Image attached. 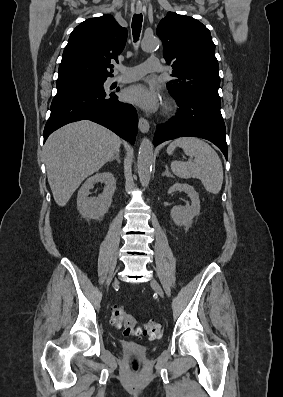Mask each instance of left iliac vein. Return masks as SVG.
I'll list each match as a JSON object with an SVG mask.
<instances>
[{
    "label": "left iliac vein",
    "mask_w": 283,
    "mask_h": 397,
    "mask_svg": "<svg viewBox=\"0 0 283 397\" xmlns=\"http://www.w3.org/2000/svg\"><path fill=\"white\" fill-rule=\"evenodd\" d=\"M150 284L152 286V288L155 290V292L160 296V297H164V292L160 286V284L155 280V279H151Z\"/></svg>",
    "instance_id": "1"
}]
</instances>
